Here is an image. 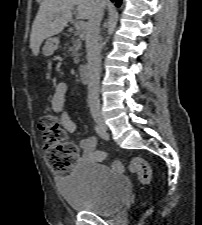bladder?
Instances as JSON below:
<instances>
[{
  "label": "bladder",
  "mask_w": 202,
  "mask_h": 225,
  "mask_svg": "<svg viewBox=\"0 0 202 225\" xmlns=\"http://www.w3.org/2000/svg\"><path fill=\"white\" fill-rule=\"evenodd\" d=\"M59 187L72 210L110 216L124 205L130 182L125 174L112 172L105 164L82 161Z\"/></svg>",
  "instance_id": "1"
}]
</instances>
